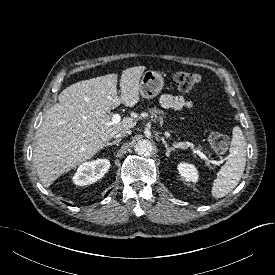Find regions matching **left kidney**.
<instances>
[{
  "label": "left kidney",
  "mask_w": 275,
  "mask_h": 275,
  "mask_svg": "<svg viewBox=\"0 0 275 275\" xmlns=\"http://www.w3.org/2000/svg\"><path fill=\"white\" fill-rule=\"evenodd\" d=\"M179 174L186 180L196 183L198 181V172L194 165L188 163H179L178 164Z\"/></svg>",
  "instance_id": "left-kidney-1"
}]
</instances>
